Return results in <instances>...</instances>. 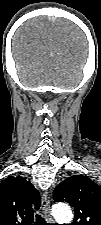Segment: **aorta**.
<instances>
[{"label": "aorta", "instance_id": "obj_1", "mask_svg": "<svg viewBox=\"0 0 101 225\" xmlns=\"http://www.w3.org/2000/svg\"><path fill=\"white\" fill-rule=\"evenodd\" d=\"M52 215L58 224H69L73 219V212L68 205L57 204L52 209Z\"/></svg>", "mask_w": 101, "mask_h": 225}]
</instances>
